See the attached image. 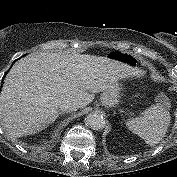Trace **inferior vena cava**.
I'll list each match as a JSON object with an SVG mask.
<instances>
[{
  "instance_id": "obj_1",
  "label": "inferior vena cava",
  "mask_w": 177,
  "mask_h": 177,
  "mask_svg": "<svg viewBox=\"0 0 177 177\" xmlns=\"http://www.w3.org/2000/svg\"><path fill=\"white\" fill-rule=\"evenodd\" d=\"M62 112H72L80 108L77 102L66 101L59 106Z\"/></svg>"
}]
</instances>
